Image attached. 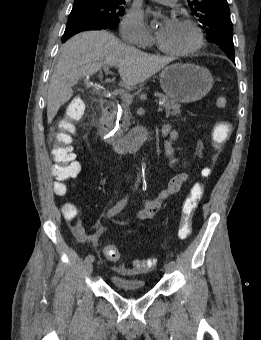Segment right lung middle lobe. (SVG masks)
<instances>
[{
  "instance_id": "dd1d6c3e",
  "label": "right lung middle lobe",
  "mask_w": 261,
  "mask_h": 340,
  "mask_svg": "<svg viewBox=\"0 0 261 340\" xmlns=\"http://www.w3.org/2000/svg\"><path fill=\"white\" fill-rule=\"evenodd\" d=\"M125 1H81L74 2L68 20L86 18L114 29L119 24V18L124 15Z\"/></svg>"
}]
</instances>
